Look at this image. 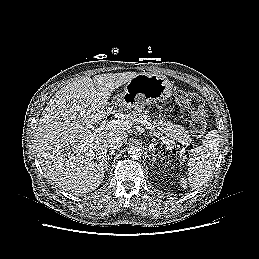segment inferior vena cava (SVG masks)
<instances>
[{"label":"inferior vena cava","mask_w":259,"mask_h":259,"mask_svg":"<svg viewBox=\"0 0 259 259\" xmlns=\"http://www.w3.org/2000/svg\"><path fill=\"white\" fill-rule=\"evenodd\" d=\"M123 145V139L120 136H111L107 139V147L118 149Z\"/></svg>","instance_id":"1"}]
</instances>
